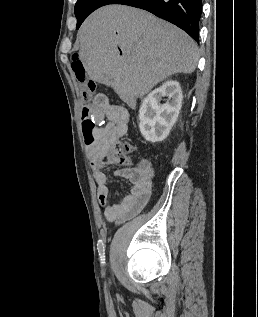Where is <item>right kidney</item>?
Listing matches in <instances>:
<instances>
[{"instance_id": "ca27d5eb", "label": "right kidney", "mask_w": 258, "mask_h": 317, "mask_svg": "<svg viewBox=\"0 0 258 317\" xmlns=\"http://www.w3.org/2000/svg\"><path fill=\"white\" fill-rule=\"evenodd\" d=\"M162 96H169L163 100ZM182 90L177 80H166L147 94L139 108V128L146 140L159 142L168 136L182 106Z\"/></svg>"}]
</instances>
